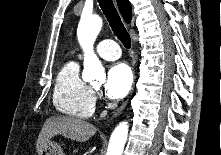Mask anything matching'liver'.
Segmentation results:
<instances>
[{"label": "liver", "instance_id": "1", "mask_svg": "<svg viewBox=\"0 0 221 155\" xmlns=\"http://www.w3.org/2000/svg\"><path fill=\"white\" fill-rule=\"evenodd\" d=\"M97 128L84 120L70 116H52L48 118L38 136L36 149L40 155L51 138L62 135L78 142L89 140Z\"/></svg>", "mask_w": 221, "mask_h": 155}]
</instances>
